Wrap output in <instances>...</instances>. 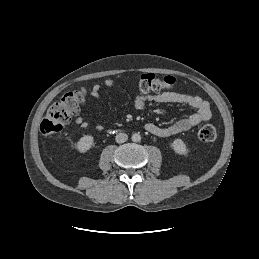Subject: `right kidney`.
<instances>
[{
    "mask_svg": "<svg viewBox=\"0 0 259 259\" xmlns=\"http://www.w3.org/2000/svg\"><path fill=\"white\" fill-rule=\"evenodd\" d=\"M94 145V137L92 135H85L77 142V150L80 153H86Z\"/></svg>",
    "mask_w": 259,
    "mask_h": 259,
    "instance_id": "obj_1",
    "label": "right kidney"
}]
</instances>
